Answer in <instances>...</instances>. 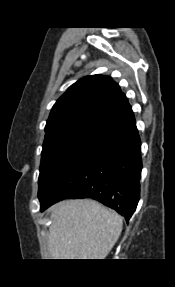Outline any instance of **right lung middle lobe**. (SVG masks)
<instances>
[{
	"instance_id": "obj_1",
	"label": "right lung middle lobe",
	"mask_w": 175,
	"mask_h": 287,
	"mask_svg": "<svg viewBox=\"0 0 175 287\" xmlns=\"http://www.w3.org/2000/svg\"><path fill=\"white\" fill-rule=\"evenodd\" d=\"M115 126L105 123H81L46 132L43 143L38 197Z\"/></svg>"
}]
</instances>
